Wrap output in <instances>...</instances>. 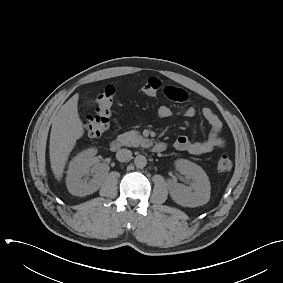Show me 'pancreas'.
<instances>
[{"label": "pancreas", "mask_w": 283, "mask_h": 283, "mask_svg": "<svg viewBox=\"0 0 283 283\" xmlns=\"http://www.w3.org/2000/svg\"><path fill=\"white\" fill-rule=\"evenodd\" d=\"M117 140L124 146L137 147L139 145L145 146L148 139L143 138L139 132L131 130L118 136Z\"/></svg>", "instance_id": "obj_1"}]
</instances>
